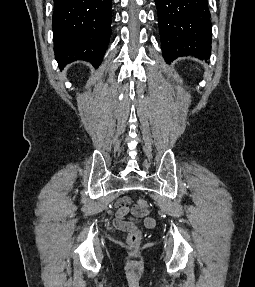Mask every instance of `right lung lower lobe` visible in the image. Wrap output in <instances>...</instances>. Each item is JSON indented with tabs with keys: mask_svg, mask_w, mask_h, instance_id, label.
Here are the masks:
<instances>
[{
	"mask_svg": "<svg viewBox=\"0 0 255 287\" xmlns=\"http://www.w3.org/2000/svg\"><path fill=\"white\" fill-rule=\"evenodd\" d=\"M111 1L54 0V52L61 68L76 60L100 65L111 35Z\"/></svg>",
	"mask_w": 255,
	"mask_h": 287,
	"instance_id": "right-lung-lower-lobe-1",
	"label": "right lung lower lobe"
}]
</instances>
